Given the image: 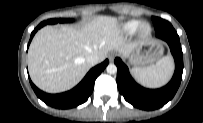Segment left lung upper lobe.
Instances as JSON below:
<instances>
[{"instance_id":"5c2ea615","label":"left lung upper lobe","mask_w":203,"mask_h":123,"mask_svg":"<svg viewBox=\"0 0 203 123\" xmlns=\"http://www.w3.org/2000/svg\"><path fill=\"white\" fill-rule=\"evenodd\" d=\"M152 21H153L155 30H159V29H162L164 27L172 26L168 21L163 20V19L158 18V17H152Z\"/></svg>"}]
</instances>
